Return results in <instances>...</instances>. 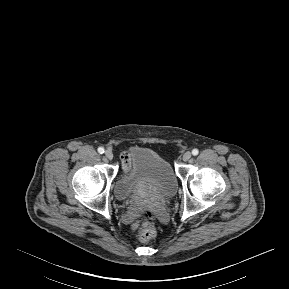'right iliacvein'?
I'll use <instances>...</instances> for the list:
<instances>
[{"label": "right iliac vein", "instance_id": "obj_1", "mask_svg": "<svg viewBox=\"0 0 289 289\" xmlns=\"http://www.w3.org/2000/svg\"><path fill=\"white\" fill-rule=\"evenodd\" d=\"M105 157L109 160H112L113 159V153L111 150H106L105 151Z\"/></svg>", "mask_w": 289, "mask_h": 289}]
</instances>
